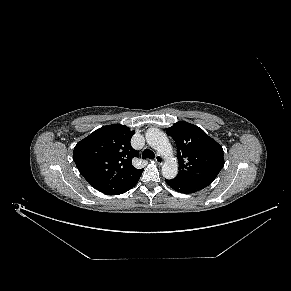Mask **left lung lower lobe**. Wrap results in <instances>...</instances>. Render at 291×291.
Returning <instances> with one entry per match:
<instances>
[{
  "label": "left lung lower lobe",
  "mask_w": 291,
  "mask_h": 291,
  "mask_svg": "<svg viewBox=\"0 0 291 291\" xmlns=\"http://www.w3.org/2000/svg\"><path fill=\"white\" fill-rule=\"evenodd\" d=\"M166 183L180 193H195L207 187L210 183L208 182H181L175 179L166 180Z\"/></svg>",
  "instance_id": "0a47b994"
}]
</instances>
